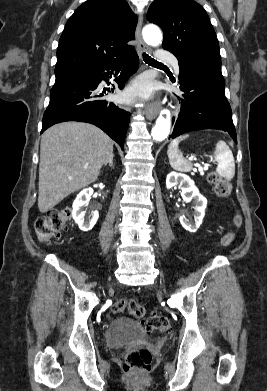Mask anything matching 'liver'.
I'll use <instances>...</instances> for the list:
<instances>
[{"instance_id":"obj_1","label":"liver","mask_w":267,"mask_h":391,"mask_svg":"<svg viewBox=\"0 0 267 391\" xmlns=\"http://www.w3.org/2000/svg\"><path fill=\"white\" fill-rule=\"evenodd\" d=\"M113 157V141L99 128L64 122L41 136L38 209L45 213L93 183Z\"/></svg>"}]
</instances>
